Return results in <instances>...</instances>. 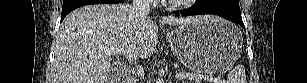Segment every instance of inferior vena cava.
<instances>
[{"label":"inferior vena cava","mask_w":307,"mask_h":83,"mask_svg":"<svg viewBox=\"0 0 307 83\" xmlns=\"http://www.w3.org/2000/svg\"><path fill=\"white\" fill-rule=\"evenodd\" d=\"M132 9L141 18H147L150 11V0H133Z\"/></svg>","instance_id":"1"}]
</instances>
